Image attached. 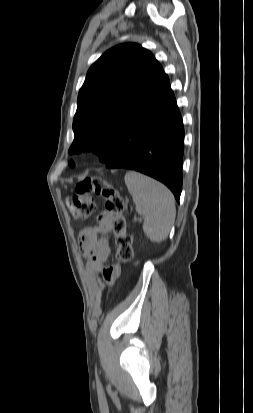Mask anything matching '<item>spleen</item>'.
<instances>
[{
    "label": "spleen",
    "instance_id": "3e777b00",
    "mask_svg": "<svg viewBox=\"0 0 253 413\" xmlns=\"http://www.w3.org/2000/svg\"><path fill=\"white\" fill-rule=\"evenodd\" d=\"M124 180L136 211L144 216L145 235L153 242L164 241L176 216L173 194L160 182L135 171L127 172Z\"/></svg>",
    "mask_w": 253,
    "mask_h": 413
}]
</instances>
